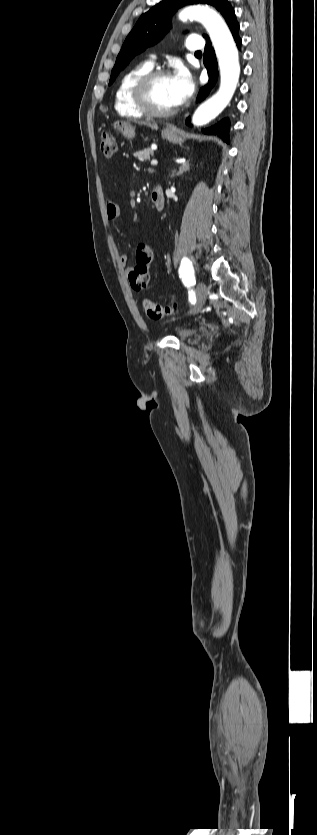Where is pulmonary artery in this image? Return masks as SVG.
<instances>
[{
  "mask_svg": "<svg viewBox=\"0 0 317 835\" xmlns=\"http://www.w3.org/2000/svg\"><path fill=\"white\" fill-rule=\"evenodd\" d=\"M203 47H204V44H203V41H202L200 36L191 35L190 37H188L187 42H186V48L189 51L198 52L201 49H203ZM150 64L152 65L153 63L150 62Z\"/></svg>",
  "mask_w": 317,
  "mask_h": 835,
  "instance_id": "pulmonary-artery-1",
  "label": "pulmonary artery"
}]
</instances>
